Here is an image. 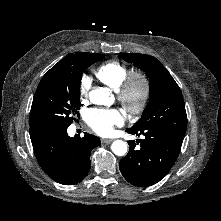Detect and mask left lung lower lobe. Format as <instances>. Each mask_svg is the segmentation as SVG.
I'll return each mask as SVG.
<instances>
[{"label": "left lung lower lobe", "mask_w": 221, "mask_h": 221, "mask_svg": "<svg viewBox=\"0 0 221 221\" xmlns=\"http://www.w3.org/2000/svg\"><path fill=\"white\" fill-rule=\"evenodd\" d=\"M173 128L158 127L130 128L129 134L144 135L145 139L129 141L130 150L120 160L119 168L123 177L132 185L147 187L159 182L170 171L182 146L187 128V116L182 112Z\"/></svg>", "instance_id": "left-lung-lower-lobe-1"}]
</instances>
